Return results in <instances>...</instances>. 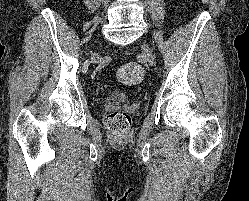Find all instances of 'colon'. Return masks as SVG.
Wrapping results in <instances>:
<instances>
[{"instance_id":"obj_1","label":"colon","mask_w":249,"mask_h":201,"mask_svg":"<svg viewBox=\"0 0 249 201\" xmlns=\"http://www.w3.org/2000/svg\"><path fill=\"white\" fill-rule=\"evenodd\" d=\"M143 75V68L137 63L124 64L117 72L118 80L130 86L138 84L142 80ZM105 124L114 138L122 139L128 133L131 117L123 109H116L106 116Z\"/></svg>"}]
</instances>
